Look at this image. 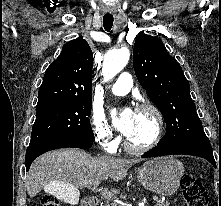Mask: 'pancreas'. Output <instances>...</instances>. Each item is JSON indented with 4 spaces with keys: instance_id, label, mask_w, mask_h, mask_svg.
<instances>
[{
    "instance_id": "obj_1",
    "label": "pancreas",
    "mask_w": 221,
    "mask_h": 206,
    "mask_svg": "<svg viewBox=\"0 0 221 206\" xmlns=\"http://www.w3.org/2000/svg\"><path fill=\"white\" fill-rule=\"evenodd\" d=\"M106 206H109V205L106 204ZM155 206H169V202L168 201H166V202H164V201H157Z\"/></svg>"
}]
</instances>
